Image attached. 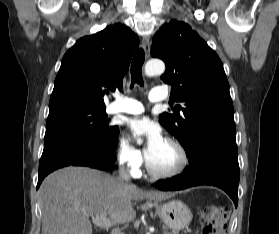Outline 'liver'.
Segmentation results:
<instances>
[{
    "label": "liver",
    "mask_w": 279,
    "mask_h": 234,
    "mask_svg": "<svg viewBox=\"0 0 279 234\" xmlns=\"http://www.w3.org/2000/svg\"><path fill=\"white\" fill-rule=\"evenodd\" d=\"M41 234H92L89 216L105 214L114 223L135 219L133 201L166 200L170 193L143 191L107 173L67 167L45 178L40 189Z\"/></svg>",
    "instance_id": "liver-1"
}]
</instances>
